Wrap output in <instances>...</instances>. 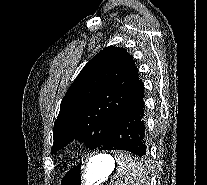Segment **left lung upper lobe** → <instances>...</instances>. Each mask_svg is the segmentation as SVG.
Masks as SVG:
<instances>
[{
  "label": "left lung upper lobe",
  "instance_id": "1",
  "mask_svg": "<svg viewBox=\"0 0 207 185\" xmlns=\"http://www.w3.org/2000/svg\"><path fill=\"white\" fill-rule=\"evenodd\" d=\"M143 91L135 62L124 48L101 50L83 67L62 99L51 153L73 139L101 150L117 117Z\"/></svg>",
  "mask_w": 207,
  "mask_h": 185
}]
</instances>
